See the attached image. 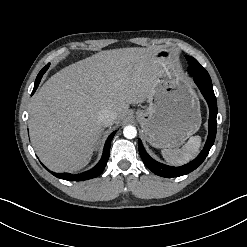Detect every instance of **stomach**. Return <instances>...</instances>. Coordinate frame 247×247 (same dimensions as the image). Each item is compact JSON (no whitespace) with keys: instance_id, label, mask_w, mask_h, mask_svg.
Wrapping results in <instances>:
<instances>
[{"instance_id":"1","label":"stomach","mask_w":247,"mask_h":247,"mask_svg":"<svg viewBox=\"0 0 247 247\" xmlns=\"http://www.w3.org/2000/svg\"><path fill=\"white\" fill-rule=\"evenodd\" d=\"M156 56L168 64L147 97L148 106L135 117L153 147L174 148L198 131L200 102L190 80L172 66L169 53L159 50Z\"/></svg>"}]
</instances>
